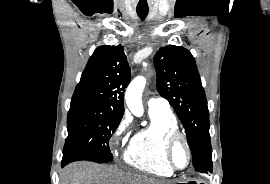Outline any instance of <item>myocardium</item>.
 <instances>
[{"label":"myocardium","instance_id":"1","mask_svg":"<svg viewBox=\"0 0 270 184\" xmlns=\"http://www.w3.org/2000/svg\"><path fill=\"white\" fill-rule=\"evenodd\" d=\"M178 141H181L184 144L187 151V155H188L187 164L183 168L177 167L172 160L173 148ZM164 159H165L166 164L173 171H183V170H186L190 166L192 162L191 146L189 144V141L186 135L182 133L179 129H175L167 133L165 137V141H164Z\"/></svg>","mask_w":270,"mask_h":184}]
</instances>
